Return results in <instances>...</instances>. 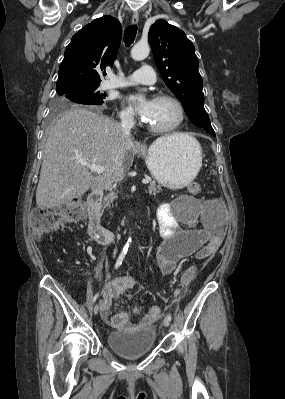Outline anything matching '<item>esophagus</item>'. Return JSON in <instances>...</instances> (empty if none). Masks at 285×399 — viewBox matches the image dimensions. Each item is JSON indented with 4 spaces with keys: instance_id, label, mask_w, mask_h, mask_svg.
Wrapping results in <instances>:
<instances>
[{
    "instance_id": "esophagus-1",
    "label": "esophagus",
    "mask_w": 285,
    "mask_h": 399,
    "mask_svg": "<svg viewBox=\"0 0 285 399\" xmlns=\"http://www.w3.org/2000/svg\"><path fill=\"white\" fill-rule=\"evenodd\" d=\"M138 21H139V14H138L137 12H135V13L133 14V16H132L131 22H132V24L135 25V24L138 23ZM140 147L143 148L144 146L141 144Z\"/></svg>"
}]
</instances>
